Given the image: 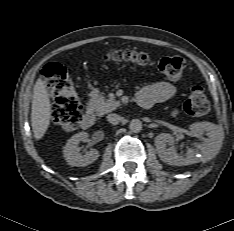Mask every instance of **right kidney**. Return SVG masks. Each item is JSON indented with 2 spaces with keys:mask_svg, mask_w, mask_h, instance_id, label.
<instances>
[{
  "mask_svg": "<svg viewBox=\"0 0 234 231\" xmlns=\"http://www.w3.org/2000/svg\"><path fill=\"white\" fill-rule=\"evenodd\" d=\"M88 140L87 132H79L67 141L63 148V155L69 165L84 167L98 159L100 154L96 149H91L84 155L80 153L79 143L87 142Z\"/></svg>",
  "mask_w": 234,
  "mask_h": 231,
  "instance_id": "obj_1",
  "label": "right kidney"
}]
</instances>
